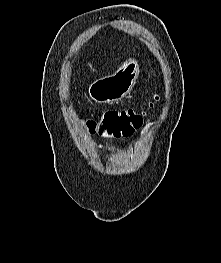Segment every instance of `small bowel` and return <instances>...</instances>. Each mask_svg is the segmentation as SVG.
I'll use <instances>...</instances> for the list:
<instances>
[{
	"instance_id": "c3829d8e",
	"label": "small bowel",
	"mask_w": 221,
	"mask_h": 263,
	"mask_svg": "<svg viewBox=\"0 0 221 263\" xmlns=\"http://www.w3.org/2000/svg\"><path fill=\"white\" fill-rule=\"evenodd\" d=\"M96 149L99 152H103L105 150V146L103 144H98V145H96ZM124 152H127V149H124Z\"/></svg>"
}]
</instances>
